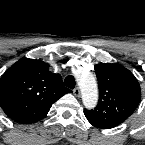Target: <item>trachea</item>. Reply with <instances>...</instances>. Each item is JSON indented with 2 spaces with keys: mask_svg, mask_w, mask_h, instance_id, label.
<instances>
[{
  "mask_svg": "<svg viewBox=\"0 0 145 145\" xmlns=\"http://www.w3.org/2000/svg\"><path fill=\"white\" fill-rule=\"evenodd\" d=\"M65 85L66 87L70 88V89H74L75 88V79L72 75H68L65 80Z\"/></svg>",
  "mask_w": 145,
  "mask_h": 145,
  "instance_id": "obj_1",
  "label": "trachea"
}]
</instances>
